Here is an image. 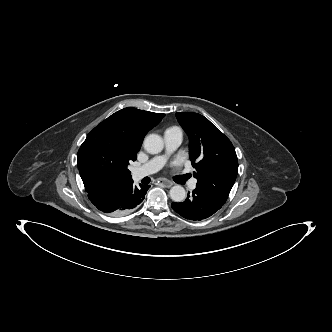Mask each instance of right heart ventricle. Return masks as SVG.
<instances>
[{"label": "right heart ventricle", "instance_id": "right-heart-ventricle-1", "mask_svg": "<svg viewBox=\"0 0 332 332\" xmlns=\"http://www.w3.org/2000/svg\"><path fill=\"white\" fill-rule=\"evenodd\" d=\"M171 129H176V128L174 127V128H170V129H168V130H171ZM168 130H167V131H168Z\"/></svg>", "mask_w": 332, "mask_h": 332}]
</instances>
